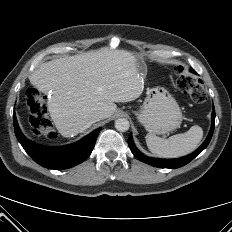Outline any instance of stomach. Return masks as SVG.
Here are the masks:
<instances>
[{
    "label": "stomach",
    "mask_w": 232,
    "mask_h": 232,
    "mask_svg": "<svg viewBox=\"0 0 232 232\" xmlns=\"http://www.w3.org/2000/svg\"><path fill=\"white\" fill-rule=\"evenodd\" d=\"M138 62L140 66L144 65L142 59ZM182 119L183 115L176 100L163 88L151 89L137 114L138 122L154 135L175 130Z\"/></svg>",
    "instance_id": "0dacf381"
}]
</instances>
